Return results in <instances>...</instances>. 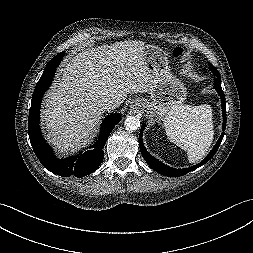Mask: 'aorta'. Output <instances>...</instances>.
<instances>
[{"instance_id": "762f6f07", "label": "aorta", "mask_w": 253, "mask_h": 253, "mask_svg": "<svg viewBox=\"0 0 253 253\" xmlns=\"http://www.w3.org/2000/svg\"><path fill=\"white\" fill-rule=\"evenodd\" d=\"M124 125L126 130L135 131L140 127V120L136 116H129L125 119Z\"/></svg>"}]
</instances>
